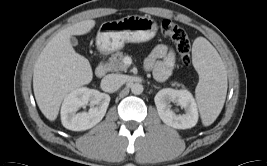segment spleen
<instances>
[{"label":"spleen","mask_w":267,"mask_h":166,"mask_svg":"<svg viewBox=\"0 0 267 166\" xmlns=\"http://www.w3.org/2000/svg\"><path fill=\"white\" fill-rule=\"evenodd\" d=\"M192 63L199 74L195 97L204 126L219 116L227 94V74L216 49L203 37L195 39Z\"/></svg>","instance_id":"obj_1"}]
</instances>
